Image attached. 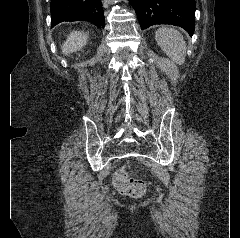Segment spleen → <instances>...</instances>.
<instances>
[{
  "label": "spleen",
  "instance_id": "spleen-1",
  "mask_svg": "<svg viewBox=\"0 0 240 238\" xmlns=\"http://www.w3.org/2000/svg\"><path fill=\"white\" fill-rule=\"evenodd\" d=\"M155 39L166 55L178 64H183L186 43L181 33L175 29L162 27L155 33Z\"/></svg>",
  "mask_w": 240,
  "mask_h": 238
}]
</instances>
